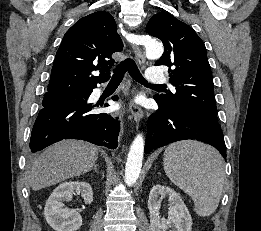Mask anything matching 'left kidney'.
<instances>
[{
  "mask_svg": "<svg viewBox=\"0 0 261 231\" xmlns=\"http://www.w3.org/2000/svg\"><path fill=\"white\" fill-rule=\"evenodd\" d=\"M169 197L168 218H160L162 198ZM148 209L151 231H191L192 218L183 200L174 190L163 185H155L150 190Z\"/></svg>",
  "mask_w": 261,
  "mask_h": 231,
  "instance_id": "5707ae66",
  "label": "left kidney"
}]
</instances>
